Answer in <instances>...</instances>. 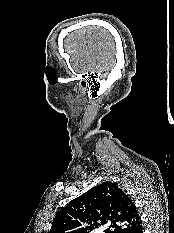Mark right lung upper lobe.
I'll list each match as a JSON object with an SVG mask.
<instances>
[{"label": "right lung upper lobe", "instance_id": "obj_1", "mask_svg": "<svg viewBox=\"0 0 174 233\" xmlns=\"http://www.w3.org/2000/svg\"><path fill=\"white\" fill-rule=\"evenodd\" d=\"M135 204L115 183L103 182L72 200L55 216L49 233H135L141 227Z\"/></svg>", "mask_w": 174, "mask_h": 233}]
</instances>
